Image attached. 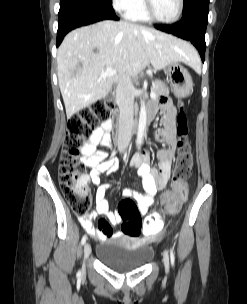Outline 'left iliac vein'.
Segmentation results:
<instances>
[{"instance_id": "1", "label": "left iliac vein", "mask_w": 247, "mask_h": 304, "mask_svg": "<svg viewBox=\"0 0 247 304\" xmlns=\"http://www.w3.org/2000/svg\"><path fill=\"white\" fill-rule=\"evenodd\" d=\"M163 261H164L165 270L168 271L169 270V257H168V253L166 251L163 254Z\"/></svg>"}]
</instances>
